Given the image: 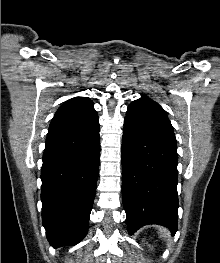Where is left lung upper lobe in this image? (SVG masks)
<instances>
[{"label": "left lung upper lobe", "instance_id": "left-lung-upper-lobe-1", "mask_svg": "<svg viewBox=\"0 0 220 263\" xmlns=\"http://www.w3.org/2000/svg\"><path fill=\"white\" fill-rule=\"evenodd\" d=\"M125 119L176 141L173 127L163 108L144 95L129 104Z\"/></svg>", "mask_w": 220, "mask_h": 263}]
</instances>
